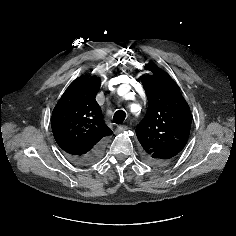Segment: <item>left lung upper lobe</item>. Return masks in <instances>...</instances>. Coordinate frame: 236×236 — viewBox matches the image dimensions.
Wrapping results in <instances>:
<instances>
[{"instance_id": "5c2ea615", "label": "left lung upper lobe", "mask_w": 236, "mask_h": 236, "mask_svg": "<svg viewBox=\"0 0 236 236\" xmlns=\"http://www.w3.org/2000/svg\"><path fill=\"white\" fill-rule=\"evenodd\" d=\"M153 74L141 81L148 109L136 127L143 159L155 166L172 162L185 147L191 129V113L177 84L153 63L145 66Z\"/></svg>"}]
</instances>
